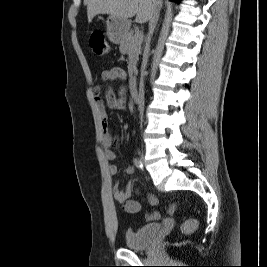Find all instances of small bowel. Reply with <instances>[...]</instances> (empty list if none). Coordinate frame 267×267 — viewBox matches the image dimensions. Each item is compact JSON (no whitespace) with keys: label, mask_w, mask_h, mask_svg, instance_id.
Instances as JSON below:
<instances>
[{"label":"small bowel","mask_w":267,"mask_h":267,"mask_svg":"<svg viewBox=\"0 0 267 267\" xmlns=\"http://www.w3.org/2000/svg\"><path fill=\"white\" fill-rule=\"evenodd\" d=\"M126 77V73L123 69L119 67H113L105 69L101 74V79L104 83H106L104 95H105V103L102 97V87L96 86L93 89V98L96 102L99 116L102 124V143L104 148V154L107 160L114 161L117 158V154L114 151V137L112 135L111 129L109 127V116L107 112V108L111 110H119L125 111L127 109V100L125 89L120 87L118 90H115L110 83L114 80H124ZM118 172V167L115 164L109 165V173L111 175H116ZM128 174L134 173V168L129 166L126 169ZM131 192V185L127 184L124 187H121L118 183L113 185V196L114 199L123 204L124 209L127 213H138L141 211V203L136 200L129 199ZM145 201L151 205L155 206L158 204L159 200L155 194H147L145 197Z\"/></svg>","instance_id":"c3829d8e"}]
</instances>
